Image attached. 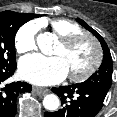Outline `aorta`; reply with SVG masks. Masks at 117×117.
Returning a JSON list of instances; mask_svg holds the SVG:
<instances>
[{
	"label": "aorta",
	"instance_id": "obj_1",
	"mask_svg": "<svg viewBox=\"0 0 117 117\" xmlns=\"http://www.w3.org/2000/svg\"><path fill=\"white\" fill-rule=\"evenodd\" d=\"M53 42V35L49 32L41 33L37 36V44L40 50L45 54H48L51 51ZM59 105L60 100L55 94H48L43 98V106L47 110L54 111Z\"/></svg>",
	"mask_w": 117,
	"mask_h": 117
}]
</instances>
